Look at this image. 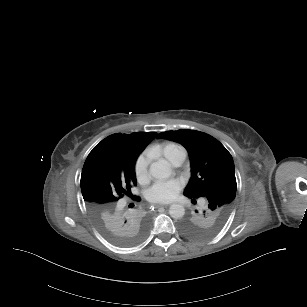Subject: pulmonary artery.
Wrapping results in <instances>:
<instances>
[{"mask_svg":"<svg viewBox=\"0 0 307 307\" xmlns=\"http://www.w3.org/2000/svg\"><path fill=\"white\" fill-rule=\"evenodd\" d=\"M159 152V150H158ZM162 154L166 157V159L174 166L181 165L187 156V152L185 149L182 148H173L168 147L162 150ZM126 202H122L121 206L124 207Z\"/></svg>","mask_w":307,"mask_h":307,"instance_id":"pulmonary-artery-1","label":"pulmonary artery"}]
</instances>
